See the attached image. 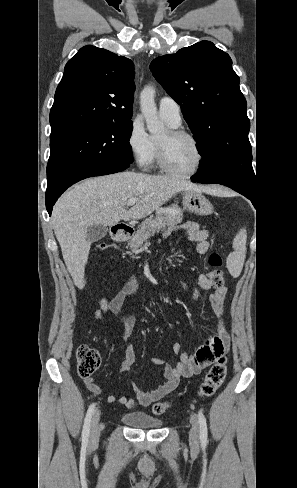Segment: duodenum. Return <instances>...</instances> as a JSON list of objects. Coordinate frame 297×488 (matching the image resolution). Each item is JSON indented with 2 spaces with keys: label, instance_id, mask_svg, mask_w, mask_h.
Listing matches in <instances>:
<instances>
[{
  "label": "duodenum",
  "instance_id": "duodenum-1",
  "mask_svg": "<svg viewBox=\"0 0 297 488\" xmlns=\"http://www.w3.org/2000/svg\"><path fill=\"white\" fill-rule=\"evenodd\" d=\"M112 237L115 241H126L131 235V229L125 224H116L111 229Z\"/></svg>",
  "mask_w": 297,
  "mask_h": 488
}]
</instances>
